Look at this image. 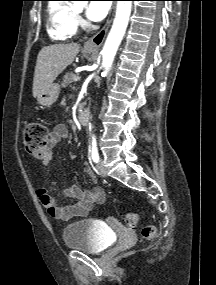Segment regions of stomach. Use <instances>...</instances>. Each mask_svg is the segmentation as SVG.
Here are the masks:
<instances>
[{
  "mask_svg": "<svg viewBox=\"0 0 216 285\" xmlns=\"http://www.w3.org/2000/svg\"><path fill=\"white\" fill-rule=\"evenodd\" d=\"M95 50L84 51L86 54H92ZM60 93V85L58 83H52L47 89L37 96L39 104L49 107L53 105Z\"/></svg>",
  "mask_w": 216,
  "mask_h": 285,
  "instance_id": "0dacf381",
  "label": "stomach"
}]
</instances>
